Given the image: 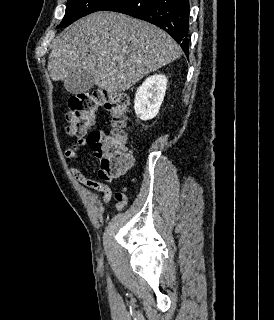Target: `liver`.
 Masks as SVG:
<instances>
[{
  "mask_svg": "<svg viewBox=\"0 0 274 320\" xmlns=\"http://www.w3.org/2000/svg\"><path fill=\"white\" fill-rule=\"evenodd\" d=\"M48 72L76 94L85 72L100 90L126 92L162 66L178 60L175 40L149 22L117 12H95L74 22L50 46Z\"/></svg>",
  "mask_w": 274,
  "mask_h": 320,
  "instance_id": "1",
  "label": "liver"
}]
</instances>
